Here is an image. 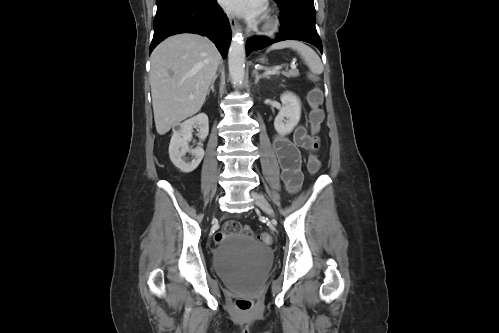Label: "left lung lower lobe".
Instances as JSON below:
<instances>
[{"instance_id": "0a47b994", "label": "left lung lower lobe", "mask_w": 499, "mask_h": 333, "mask_svg": "<svg viewBox=\"0 0 499 333\" xmlns=\"http://www.w3.org/2000/svg\"><path fill=\"white\" fill-rule=\"evenodd\" d=\"M280 8V33L274 40L252 37L246 43V55L284 40H301L316 46L322 53V42L315 27L313 0H274Z\"/></svg>"}]
</instances>
